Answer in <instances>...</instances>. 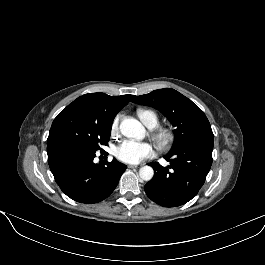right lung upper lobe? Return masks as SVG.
<instances>
[{
	"instance_id": "1",
	"label": "right lung upper lobe",
	"mask_w": 265,
	"mask_h": 265,
	"mask_svg": "<svg viewBox=\"0 0 265 265\" xmlns=\"http://www.w3.org/2000/svg\"><path fill=\"white\" fill-rule=\"evenodd\" d=\"M133 95L108 96L104 93L85 94L74 100L61 113L78 112L101 120L113 121Z\"/></svg>"
}]
</instances>
